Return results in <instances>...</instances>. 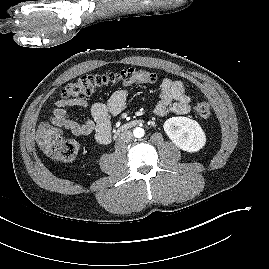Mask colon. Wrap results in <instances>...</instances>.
<instances>
[{"label": "colon", "instance_id": "colon-1", "mask_svg": "<svg viewBox=\"0 0 269 269\" xmlns=\"http://www.w3.org/2000/svg\"><path fill=\"white\" fill-rule=\"evenodd\" d=\"M157 75L134 68L122 69L101 75H84L68 83L62 90V98L66 100L85 99L96 91L114 84H133L157 82ZM196 114L208 118L211 105L201 101L195 106ZM37 141L41 148L52 158L60 161H72L78 154V143L63 137L60 131L49 122H42L37 129Z\"/></svg>", "mask_w": 269, "mask_h": 269}]
</instances>
